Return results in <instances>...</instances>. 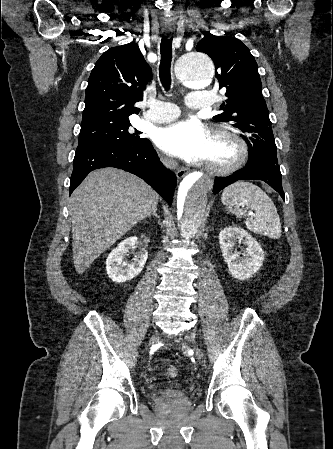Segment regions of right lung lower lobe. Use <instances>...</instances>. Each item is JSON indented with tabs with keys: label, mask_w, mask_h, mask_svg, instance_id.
I'll return each mask as SVG.
<instances>
[{
	"label": "right lung lower lobe",
	"mask_w": 333,
	"mask_h": 449,
	"mask_svg": "<svg viewBox=\"0 0 333 449\" xmlns=\"http://www.w3.org/2000/svg\"><path fill=\"white\" fill-rule=\"evenodd\" d=\"M104 167H115L137 175L171 205L176 187V176L163 166L148 139L140 147L122 145L77 147L69 188L70 194L89 172Z\"/></svg>",
	"instance_id": "98d812e1"
}]
</instances>
